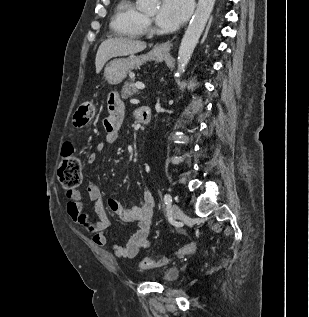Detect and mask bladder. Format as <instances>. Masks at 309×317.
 I'll return each instance as SVG.
<instances>
[{
  "instance_id": "1",
  "label": "bladder",
  "mask_w": 309,
  "mask_h": 317,
  "mask_svg": "<svg viewBox=\"0 0 309 317\" xmlns=\"http://www.w3.org/2000/svg\"><path fill=\"white\" fill-rule=\"evenodd\" d=\"M180 276V270L177 267H168L161 273V280L164 282H174Z\"/></svg>"
}]
</instances>
